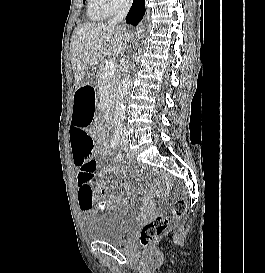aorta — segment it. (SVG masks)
Segmentation results:
<instances>
[{"instance_id":"1","label":"aorta","mask_w":265,"mask_h":273,"mask_svg":"<svg viewBox=\"0 0 265 273\" xmlns=\"http://www.w3.org/2000/svg\"><path fill=\"white\" fill-rule=\"evenodd\" d=\"M144 32H145L144 25L142 23L138 24V26L136 27V32H135L137 40H140L143 38ZM136 45L138 46V43H136ZM130 84H131V80L129 79V77H125L122 79V81L120 82L116 90V94L114 98V122L118 126H121L125 119L124 98L129 92ZM112 97H114V93Z\"/></svg>"}]
</instances>
